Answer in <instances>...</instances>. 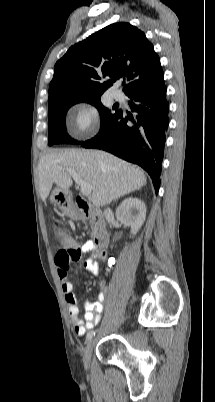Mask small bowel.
Segmentation results:
<instances>
[{
	"mask_svg": "<svg viewBox=\"0 0 215 402\" xmlns=\"http://www.w3.org/2000/svg\"><path fill=\"white\" fill-rule=\"evenodd\" d=\"M79 257L73 262L61 263L55 257V263L58 269V276L64 298L67 303V309L72 321L73 331L76 335L82 336L87 330L93 328L101 319V313L104 309V302L108 292V287L105 282H101L99 285V293L95 301H85L83 306L85 310L84 319H80V307L74 295V285L70 280V273L72 272V263L78 261L82 256L94 251V258H88L84 262V268L94 275H98L100 272V266L98 261L104 258V253L101 250L95 249L92 241H87L85 244L79 246L77 249ZM70 270H67V267Z\"/></svg>",
	"mask_w": 215,
	"mask_h": 402,
	"instance_id": "obj_1",
	"label": "small bowel"
}]
</instances>
